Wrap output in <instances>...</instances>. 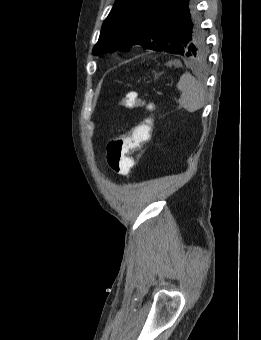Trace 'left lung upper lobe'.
I'll return each mask as SVG.
<instances>
[{"label": "left lung upper lobe", "instance_id": "5c2ea615", "mask_svg": "<svg viewBox=\"0 0 261 340\" xmlns=\"http://www.w3.org/2000/svg\"><path fill=\"white\" fill-rule=\"evenodd\" d=\"M164 1L116 0L103 23L93 54L141 45L144 49L186 58H203L207 45L196 7L178 20H172L161 10Z\"/></svg>", "mask_w": 261, "mask_h": 340}]
</instances>
